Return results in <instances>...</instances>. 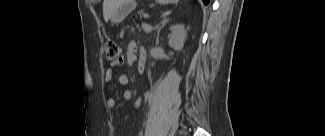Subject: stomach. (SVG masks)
Listing matches in <instances>:
<instances>
[{
  "label": "stomach",
  "instance_id": "obj_1",
  "mask_svg": "<svg viewBox=\"0 0 325 136\" xmlns=\"http://www.w3.org/2000/svg\"><path fill=\"white\" fill-rule=\"evenodd\" d=\"M161 4L175 3L176 0H156ZM138 7L137 1L123 0V3L119 8L112 14L111 22L120 23L122 22L127 15H130L131 12H135V9Z\"/></svg>",
  "mask_w": 325,
  "mask_h": 136
}]
</instances>
